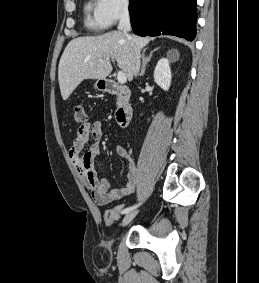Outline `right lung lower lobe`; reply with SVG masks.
Wrapping results in <instances>:
<instances>
[{"instance_id": "1", "label": "right lung lower lobe", "mask_w": 259, "mask_h": 283, "mask_svg": "<svg viewBox=\"0 0 259 283\" xmlns=\"http://www.w3.org/2000/svg\"><path fill=\"white\" fill-rule=\"evenodd\" d=\"M133 32L140 36H196V0H130Z\"/></svg>"}]
</instances>
